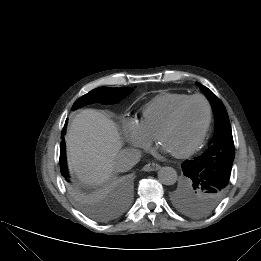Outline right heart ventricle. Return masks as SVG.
<instances>
[{
  "instance_id": "e07e8e85",
  "label": "right heart ventricle",
  "mask_w": 261,
  "mask_h": 261,
  "mask_svg": "<svg viewBox=\"0 0 261 261\" xmlns=\"http://www.w3.org/2000/svg\"><path fill=\"white\" fill-rule=\"evenodd\" d=\"M189 96L184 93L172 92L157 95L143 106L138 125L143 132L155 138L176 106Z\"/></svg>"
}]
</instances>
